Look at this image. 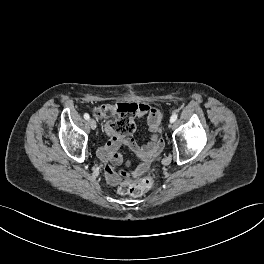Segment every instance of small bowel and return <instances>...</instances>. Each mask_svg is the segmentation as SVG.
<instances>
[{
  "mask_svg": "<svg viewBox=\"0 0 264 264\" xmlns=\"http://www.w3.org/2000/svg\"><path fill=\"white\" fill-rule=\"evenodd\" d=\"M136 104V103H135ZM138 117H146L151 139L145 145H139L134 139L117 134L107 126L110 134L108 142L99 148L98 156L105 163L106 179L110 185H117L120 181V174L116 171V166L123 162L120 148L128 146L143 162H150L163 148V141L159 136L160 125L163 114L160 109L145 103L136 104ZM140 169H143V165Z\"/></svg>",
  "mask_w": 264,
  "mask_h": 264,
  "instance_id": "obj_1",
  "label": "small bowel"
}]
</instances>
